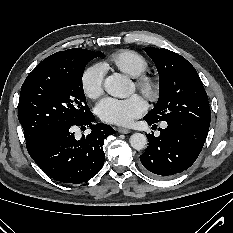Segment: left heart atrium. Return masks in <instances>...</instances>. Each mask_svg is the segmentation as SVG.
<instances>
[{"mask_svg": "<svg viewBox=\"0 0 233 233\" xmlns=\"http://www.w3.org/2000/svg\"><path fill=\"white\" fill-rule=\"evenodd\" d=\"M146 110V103L140 95L128 98L106 97L102 99L96 111L101 120L117 125H129Z\"/></svg>", "mask_w": 233, "mask_h": 233, "instance_id": "39dd6f15", "label": "left heart atrium"}]
</instances>
